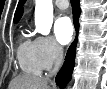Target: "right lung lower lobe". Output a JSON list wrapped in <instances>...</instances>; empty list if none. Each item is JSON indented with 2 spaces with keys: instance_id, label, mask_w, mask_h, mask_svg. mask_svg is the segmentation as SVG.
Here are the masks:
<instances>
[{
  "instance_id": "1",
  "label": "right lung lower lobe",
  "mask_w": 107,
  "mask_h": 89,
  "mask_svg": "<svg viewBox=\"0 0 107 89\" xmlns=\"http://www.w3.org/2000/svg\"><path fill=\"white\" fill-rule=\"evenodd\" d=\"M71 5H72V11H73L74 25H75L76 30L78 31V28H79L78 19H79V15L81 12L80 6H79V0H71ZM76 43H77V37L67 52L64 66L62 67L58 75L56 76V83L61 88L65 87L68 81L71 79L72 71L75 66Z\"/></svg>"
}]
</instances>
